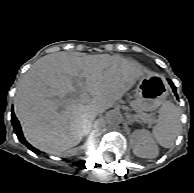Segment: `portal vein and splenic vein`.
I'll list each match as a JSON object with an SVG mask.
<instances>
[{
  "mask_svg": "<svg viewBox=\"0 0 194 193\" xmlns=\"http://www.w3.org/2000/svg\"><path fill=\"white\" fill-rule=\"evenodd\" d=\"M79 85H81L82 87V84L80 82H78ZM82 91H83V94H85V90L82 88Z\"/></svg>",
  "mask_w": 194,
  "mask_h": 193,
  "instance_id": "portal-vein-and-splenic-vein-1",
  "label": "portal vein and splenic vein"
}]
</instances>
